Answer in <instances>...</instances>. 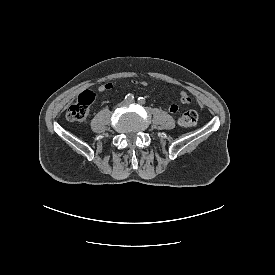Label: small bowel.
<instances>
[{
    "label": "small bowel",
    "instance_id": "small-bowel-1",
    "mask_svg": "<svg viewBox=\"0 0 275 275\" xmlns=\"http://www.w3.org/2000/svg\"><path fill=\"white\" fill-rule=\"evenodd\" d=\"M141 85H146L145 82H142ZM113 89V84L110 83V82H105L103 84H101L99 87H98V92H105V91H109ZM180 102L182 104H189L191 102V97L190 95L186 92V91H182L181 92V95H180ZM179 109V106L176 105V104H171L169 106V111L171 113H176Z\"/></svg>",
    "mask_w": 275,
    "mask_h": 275
}]
</instances>
